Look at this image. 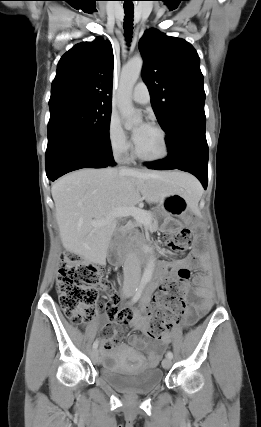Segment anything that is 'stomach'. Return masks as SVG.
<instances>
[{"label": "stomach", "instance_id": "1", "mask_svg": "<svg viewBox=\"0 0 261 427\" xmlns=\"http://www.w3.org/2000/svg\"><path fill=\"white\" fill-rule=\"evenodd\" d=\"M189 209V201L183 193H174L167 196L158 205L157 216H181Z\"/></svg>", "mask_w": 261, "mask_h": 427}]
</instances>
